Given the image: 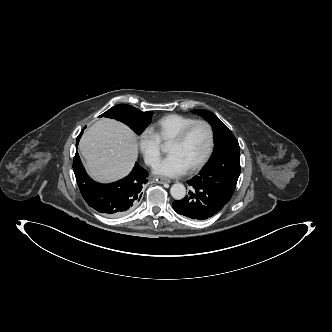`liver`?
I'll return each mask as SVG.
<instances>
[{
	"label": "liver",
	"instance_id": "6515ba94",
	"mask_svg": "<svg viewBox=\"0 0 332 332\" xmlns=\"http://www.w3.org/2000/svg\"><path fill=\"white\" fill-rule=\"evenodd\" d=\"M79 150L87 173L99 182H113L126 176L138 156L135 134L123 123L103 118L81 137Z\"/></svg>",
	"mask_w": 332,
	"mask_h": 332
}]
</instances>
